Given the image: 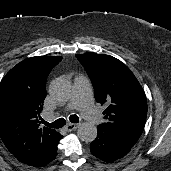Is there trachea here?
<instances>
[{"instance_id": "obj_1", "label": "trachea", "mask_w": 171, "mask_h": 171, "mask_svg": "<svg viewBox=\"0 0 171 171\" xmlns=\"http://www.w3.org/2000/svg\"><path fill=\"white\" fill-rule=\"evenodd\" d=\"M70 122L72 123H78L79 122V117L77 115H71L69 117ZM42 123L45 124V126L47 127H51V128H61L66 124V120L64 118H60L58 120H56L53 123H48L44 120H42Z\"/></svg>"}]
</instances>
